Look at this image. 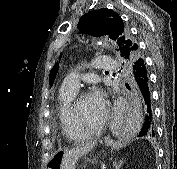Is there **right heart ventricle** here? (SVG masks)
<instances>
[{"instance_id": "e07e8e85", "label": "right heart ventricle", "mask_w": 177, "mask_h": 169, "mask_svg": "<svg viewBox=\"0 0 177 169\" xmlns=\"http://www.w3.org/2000/svg\"><path fill=\"white\" fill-rule=\"evenodd\" d=\"M78 91L60 89L58 97L57 113L61 132L69 141H81L87 136L78 132L73 114L72 105Z\"/></svg>"}]
</instances>
